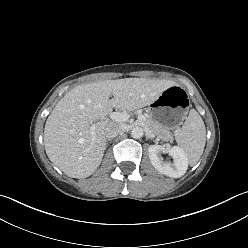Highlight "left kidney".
<instances>
[{"label": "left kidney", "mask_w": 248, "mask_h": 248, "mask_svg": "<svg viewBox=\"0 0 248 248\" xmlns=\"http://www.w3.org/2000/svg\"><path fill=\"white\" fill-rule=\"evenodd\" d=\"M148 153L154 168L166 176L179 178L187 171L188 158L185 152L178 146L167 150L161 145H150ZM164 153H169L173 158V162L164 161L162 158V154Z\"/></svg>", "instance_id": "left-kidney-1"}]
</instances>
